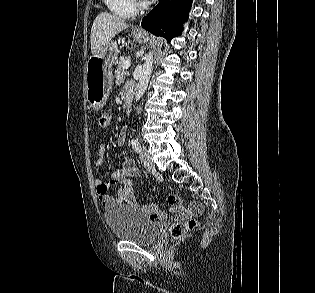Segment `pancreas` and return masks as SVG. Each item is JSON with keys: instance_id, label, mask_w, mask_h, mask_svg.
Returning <instances> with one entry per match:
<instances>
[{"instance_id": "cf45deb5", "label": "pancreas", "mask_w": 315, "mask_h": 293, "mask_svg": "<svg viewBox=\"0 0 315 293\" xmlns=\"http://www.w3.org/2000/svg\"><path fill=\"white\" fill-rule=\"evenodd\" d=\"M126 61L125 58H120L118 60V67L115 71L116 74V84H121L123 83L124 79H125V74H126V70L124 69V62Z\"/></svg>"}]
</instances>
